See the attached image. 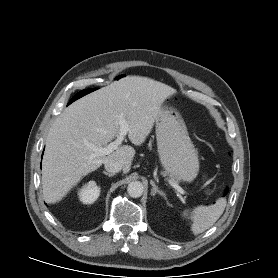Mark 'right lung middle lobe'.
<instances>
[{
    "label": "right lung middle lobe",
    "mask_w": 278,
    "mask_h": 278,
    "mask_svg": "<svg viewBox=\"0 0 278 278\" xmlns=\"http://www.w3.org/2000/svg\"><path fill=\"white\" fill-rule=\"evenodd\" d=\"M91 91H93V89L83 90V91L79 92L75 97L79 98V97H81V96H83V95H85V94H87V93H89V92H91ZM75 97H74V98H75ZM74 100H75V99H74Z\"/></svg>",
    "instance_id": "1"
}]
</instances>
